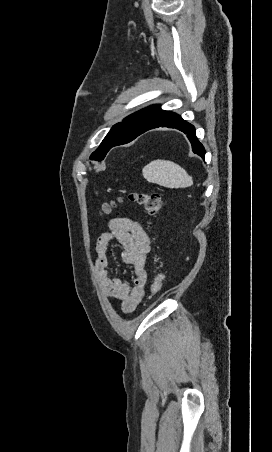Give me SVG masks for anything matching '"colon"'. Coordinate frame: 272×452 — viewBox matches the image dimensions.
I'll list each match as a JSON object with an SVG mask.
<instances>
[{
    "label": "colon",
    "mask_w": 272,
    "mask_h": 452,
    "mask_svg": "<svg viewBox=\"0 0 272 452\" xmlns=\"http://www.w3.org/2000/svg\"><path fill=\"white\" fill-rule=\"evenodd\" d=\"M128 200L140 205L150 215L157 214L162 204L160 195L155 192H133L128 195ZM115 204L114 201L103 203L100 210L101 213L103 215L110 214ZM164 278L165 276L162 272L155 276L150 289L153 296L162 289Z\"/></svg>",
    "instance_id": "obj_1"
}]
</instances>
